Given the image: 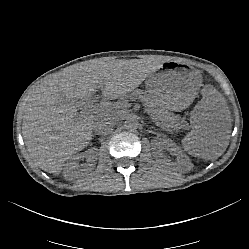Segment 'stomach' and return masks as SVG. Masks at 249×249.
<instances>
[{"instance_id": "1", "label": "stomach", "mask_w": 249, "mask_h": 249, "mask_svg": "<svg viewBox=\"0 0 249 249\" xmlns=\"http://www.w3.org/2000/svg\"><path fill=\"white\" fill-rule=\"evenodd\" d=\"M199 70H190L176 61H167L146 80V91L151 99L168 109L190 105L202 87Z\"/></svg>"}]
</instances>
